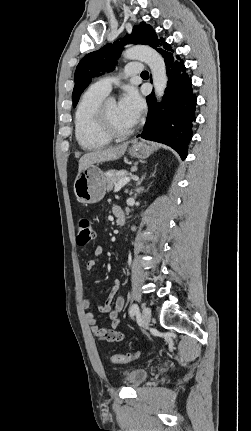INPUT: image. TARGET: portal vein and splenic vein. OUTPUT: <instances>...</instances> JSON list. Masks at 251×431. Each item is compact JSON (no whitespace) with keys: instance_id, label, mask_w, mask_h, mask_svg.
Wrapping results in <instances>:
<instances>
[{"instance_id":"18ae733b","label":"portal vein and splenic vein","mask_w":251,"mask_h":431,"mask_svg":"<svg viewBox=\"0 0 251 431\" xmlns=\"http://www.w3.org/2000/svg\"><path fill=\"white\" fill-rule=\"evenodd\" d=\"M131 180L130 177H125L121 180H119V182L115 185V192H118L124 185H126L127 183H129Z\"/></svg>"}]
</instances>
